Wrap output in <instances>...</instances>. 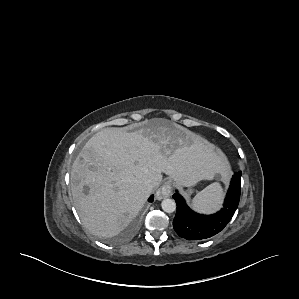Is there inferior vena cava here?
Instances as JSON below:
<instances>
[{
  "label": "inferior vena cava",
  "mask_w": 299,
  "mask_h": 299,
  "mask_svg": "<svg viewBox=\"0 0 299 299\" xmlns=\"http://www.w3.org/2000/svg\"><path fill=\"white\" fill-rule=\"evenodd\" d=\"M146 188L151 192L154 189V185L151 181L145 183Z\"/></svg>",
  "instance_id": "1"
}]
</instances>
